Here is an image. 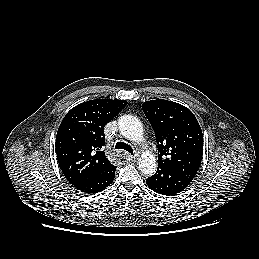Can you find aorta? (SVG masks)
<instances>
[{
    "mask_svg": "<svg viewBox=\"0 0 259 259\" xmlns=\"http://www.w3.org/2000/svg\"><path fill=\"white\" fill-rule=\"evenodd\" d=\"M119 131L131 141L143 139V126L138 118L132 115H123L118 120ZM139 170L145 175H153L156 172L157 164L154 156L150 153H143L138 161Z\"/></svg>",
    "mask_w": 259,
    "mask_h": 259,
    "instance_id": "obj_1",
    "label": "aorta"
}]
</instances>
